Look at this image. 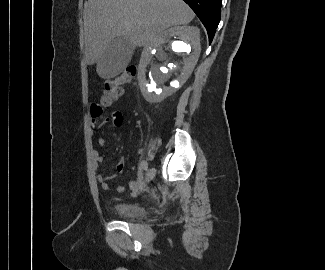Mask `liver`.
<instances>
[{"mask_svg": "<svg viewBox=\"0 0 325 270\" xmlns=\"http://www.w3.org/2000/svg\"><path fill=\"white\" fill-rule=\"evenodd\" d=\"M182 0H88L84 8L85 61L91 65L102 58L116 37H128L133 47L158 43L166 29L186 25L194 19Z\"/></svg>", "mask_w": 325, "mask_h": 270, "instance_id": "6515ba94", "label": "liver"}]
</instances>
